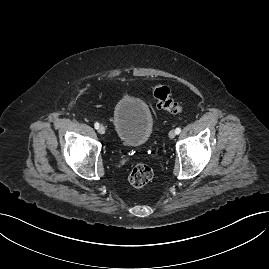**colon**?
I'll use <instances>...</instances> for the list:
<instances>
[{"instance_id":"1","label":"colon","mask_w":269,"mask_h":269,"mask_svg":"<svg viewBox=\"0 0 269 269\" xmlns=\"http://www.w3.org/2000/svg\"><path fill=\"white\" fill-rule=\"evenodd\" d=\"M154 97L160 109L172 114H179L183 106L172 98L170 89L164 85H156L153 88ZM153 177L152 169L146 164L136 165L129 174L130 183L136 188L145 187Z\"/></svg>"}]
</instances>
